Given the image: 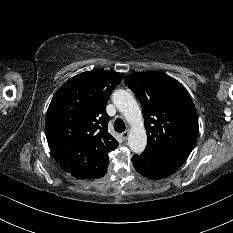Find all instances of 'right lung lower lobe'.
<instances>
[{
	"mask_svg": "<svg viewBox=\"0 0 233 233\" xmlns=\"http://www.w3.org/2000/svg\"><path fill=\"white\" fill-rule=\"evenodd\" d=\"M106 172H107V170L101 176H99L98 178L104 176L106 174ZM80 179H96V178H80Z\"/></svg>",
	"mask_w": 233,
	"mask_h": 233,
	"instance_id": "obj_1",
	"label": "right lung lower lobe"
}]
</instances>
